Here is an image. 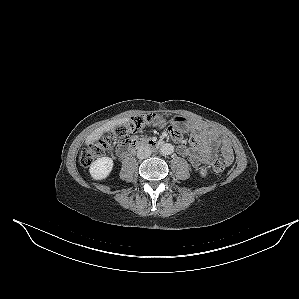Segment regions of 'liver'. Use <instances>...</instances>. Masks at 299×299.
Returning a JSON list of instances; mask_svg holds the SVG:
<instances>
[{
	"label": "liver",
	"mask_w": 299,
	"mask_h": 299,
	"mask_svg": "<svg viewBox=\"0 0 299 299\" xmlns=\"http://www.w3.org/2000/svg\"><path fill=\"white\" fill-rule=\"evenodd\" d=\"M130 121V118H121L118 120H111L107 123L103 124L101 127L95 129L92 133H90L85 141L86 145L93 144L98 139H100L104 133H107L113 129H115L117 126L124 125Z\"/></svg>",
	"instance_id": "obj_1"
}]
</instances>
